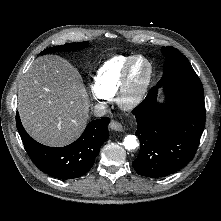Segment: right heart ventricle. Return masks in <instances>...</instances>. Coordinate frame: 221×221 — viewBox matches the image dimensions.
Returning <instances> with one entry per match:
<instances>
[{
  "label": "right heart ventricle",
  "mask_w": 221,
  "mask_h": 221,
  "mask_svg": "<svg viewBox=\"0 0 221 221\" xmlns=\"http://www.w3.org/2000/svg\"><path fill=\"white\" fill-rule=\"evenodd\" d=\"M134 55H117L99 68L94 79V90L106 99L113 98L118 91L125 66Z\"/></svg>",
  "instance_id": "e07e8e85"
}]
</instances>
